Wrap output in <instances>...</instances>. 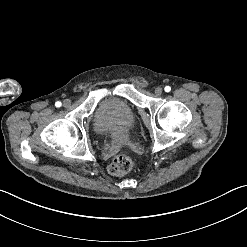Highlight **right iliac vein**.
<instances>
[{
  "instance_id": "right-iliac-vein-1",
  "label": "right iliac vein",
  "mask_w": 247,
  "mask_h": 247,
  "mask_svg": "<svg viewBox=\"0 0 247 247\" xmlns=\"http://www.w3.org/2000/svg\"><path fill=\"white\" fill-rule=\"evenodd\" d=\"M70 105H71V101L69 99H66V100L63 101V106L65 108H68Z\"/></svg>"
}]
</instances>
